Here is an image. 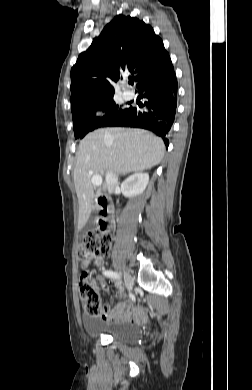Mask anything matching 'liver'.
<instances>
[{
	"mask_svg": "<svg viewBox=\"0 0 252 390\" xmlns=\"http://www.w3.org/2000/svg\"><path fill=\"white\" fill-rule=\"evenodd\" d=\"M163 140L141 129H98L80 141L74 169V184L79 201L78 228L90 217L94 189L89 171L106 178L116 174L142 172L159 164L164 156ZM101 190L96 195H100Z\"/></svg>",
	"mask_w": 252,
	"mask_h": 390,
	"instance_id": "obj_1",
	"label": "liver"
}]
</instances>
